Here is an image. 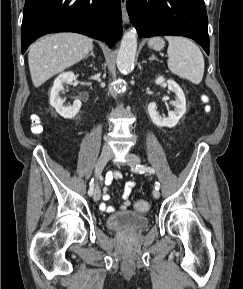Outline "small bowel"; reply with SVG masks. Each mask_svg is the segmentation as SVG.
<instances>
[{
    "instance_id": "1",
    "label": "small bowel",
    "mask_w": 243,
    "mask_h": 289,
    "mask_svg": "<svg viewBox=\"0 0 243 289\" xmlns=\"http://www.w3.org/2000/svg\"><path fill=\"white\" fill-rule=\"evenodd\" d=\"M122 178V175L117 172H111L106 176L105 179V191L102 195V200L103 202L100 204V210L107 212V213H112L115 211V208L111 205L106 204V202L110 199V195L107 192L108 186L112 184L113 181L119 180ZM136 182L134 181H127L124 185L123 193H122V198L124 200V203L121 205V209H126L129 205V196L132 192V190L135 188Z\"/></svg>"
}]
</instances>
